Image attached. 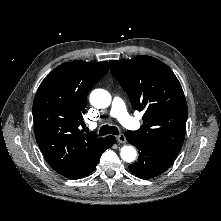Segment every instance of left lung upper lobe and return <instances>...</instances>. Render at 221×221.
<instances>
[{"label":"left lung upper lobe","mask_w":221,"mask_h":221,"mask_svg":"<svg viewBox=\"0 0 221 221\" xmlns=\"http://www.w3.org/2000/svg\"><path fill=\"white\" fill-rule=\"evenodd\" d=\"M109 65L112 75L128 94L132 107L144 111L143 125L130 132L151 145L179 152L188 110L182 87L172 70L146 55L111 60Z\"/></svg>","instance_id":"5c2ea615"}]
</instances>
